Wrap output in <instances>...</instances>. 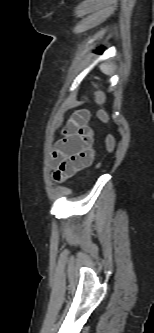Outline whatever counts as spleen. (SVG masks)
Instances as JSON below:
<instances>
[{
  "mask_svg": "<svg viewBox=\"0 0 154 333\" xmlns=\"http://www.w3.org/2000/svg\"><path fill=\"white\" fill-rule=\"evenodd\" d=\"M100 70L104 74L109 75L113 72V67H112V65L105 63V64L100 65Z\"/></svg>",
  "mask_w": 154,
  "mask_h": 333,
  "instance_id": "obj_1",
  "label": "spleen"
}]
</instances>
